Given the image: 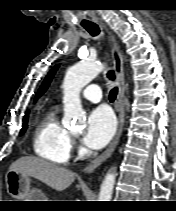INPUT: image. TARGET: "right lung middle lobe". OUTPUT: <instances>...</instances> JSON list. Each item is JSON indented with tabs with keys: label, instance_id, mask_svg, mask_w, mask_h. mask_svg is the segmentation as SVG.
I'll return each instance as SVG.
<instances>
[{
	"label": "right lung middle lobe",
	"instance_id": "right-lung-middle-lobe-1",
	"mask_svg": "<svg viewBox=\"0 0 176 211\" xmlns=\"http://www.w3.org/2000/svg\"><path fill=\"white\" fill-rule=\"evenodd\" d=\"M27 118H28V115H26L24 117V123H23L22 129H21V134H23L25 132L26 128H27V124H26L27 123Z\"/></svg>",
	"mask_w": 176,
	"mask_h": 211
}]
</instances>
